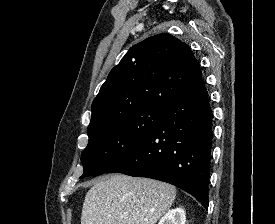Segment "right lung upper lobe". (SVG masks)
<instances>
[{"mask_svg":"<svg viewBox=\"0 0 275 224\" xmlns=\"http://www.w3.org/2000/svg\"><path fill=\"white\" fill-rule=\"evenodd\" d=\"M202 72L190 47L170 34L134 45L108 75L92 103V127L144 107L167 109L191 91Z\"/></svg>","mask_w":275,"mask_h":224,"instance_id":"obj_1","label":"right lung upper lobe"}]
</instances>
